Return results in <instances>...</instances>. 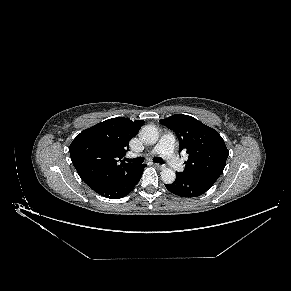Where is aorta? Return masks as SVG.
Wrapping results in <instances>:
<instances>
[{"label":"aorta","mask_w":291,"mask_h":291,"mask_svg":"<svg viewBox=\"0 0 291 291\" xmlns=\"http://www.w3.org/2000/svg\"><path fill=\"white\" fill-rule=\"evenodd\" d=\"M139 136L145 143L155 144L159 139V132L154 125H146L142 127ZM161 179L166 184H172L176 179V173L171 168H165L161 171Z\"/></svg>","instance_id":"1"}]
</instances>
